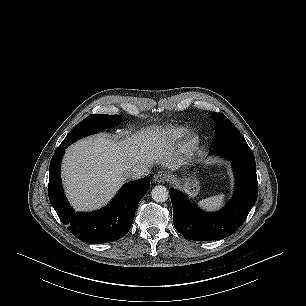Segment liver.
<instances>
[{"mask_svg":"<svg viewBox=\"0 0 306 306\" xmlns=\"http://www.w3.org/2000/svg\"><path fill=\"white\" fill-rule=\"evenodd\" d=\"M159 163L175 171L185 161L174 153L169 132L147 128L124 139L98 134L66 150L62 178L67 196L77 211L106 205L129 178L135 166Z\"/></svg>","mask_w":306,"mask_h":306,"instance_id":"liver-1","label":"liver"}]
</instances>
